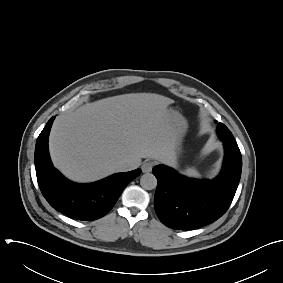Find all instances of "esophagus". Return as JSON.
I'll return each mask as SVG.
<instances>
[{
  "label": "esophagus",
  "instance_id": "34e87169",
  "mask_svg": "<svg viewBox=\"0 0 283 283\" xmlns=\"http://www.w3.org/2000/svg\"><path fill=\"white\" fill-rule=\"evenodd\" d=\"M153 165L154 163L152 161H145L141 166L142 172L143 173L151 172Z\"/></svg>",
  "mask_w": 283,
  "mask_h": 283
}]
</instances>
